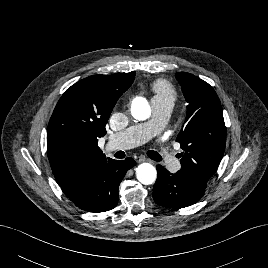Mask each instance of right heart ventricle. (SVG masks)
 <instances>
[{
	"label": "right heart ventricle",
	"instance_id": "1",
	"mask_svg": "<svg viewBox=\"0 0 268 268\" xmlns=\"http://www.w3.org/2000/svg\"><path fill=\"white\" fill-rule=\"evenodd\" d=\"M154 98L170 103L172 106L177 98L175 88L165 80H157L153 84Z\"/></svg>",
	"mask_w": 268,
	"mask_h": 268
}]
</instances>
